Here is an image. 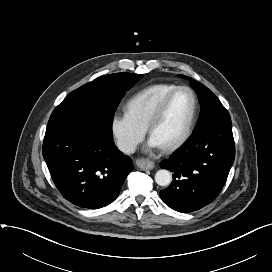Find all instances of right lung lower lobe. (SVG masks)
Returning <instances> with one entry per match:
<instances>
[{"label":"right lung lower lobe","mask_w":272,"mask_h":272,"mask_svg":"<svg viewBox=\"0 0 272 272\" xmlns=\"http://www.w3.org/2000/svg\"><path fill=\"white\" fill-rule=\"evenodd\" d=\"M42 152L57 189L82 208L114 201L133 170L132 160L117 149L113 137L87 124L46 131Z\"/></svg>","instance_id":"1"}]
</instances>
